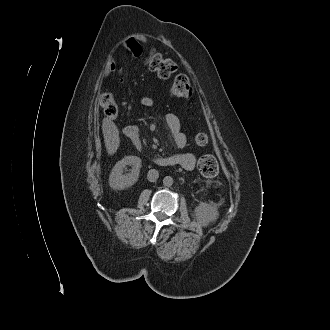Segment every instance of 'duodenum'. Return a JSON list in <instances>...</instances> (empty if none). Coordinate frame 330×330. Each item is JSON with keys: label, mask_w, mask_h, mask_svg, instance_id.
<instances>
[{"label": "duodenum", "mask_w": 330, "mask_h": 330, "mask_svg": "<svg viewBox=\"0 0 330 330\" xmlns=\"http://www.w3.org/2000/svg\"><path fill=\"white\" fill-rule=\"evenodd\" d=\"M127 130L130 131V127L126 128ZM126 136L128 138H131L132 140H135L137 141L138 140V131L136 130H131L128 134H126ZM156 161L159 163V164H163V165H172L171 164V161L166 157V158H163V157H158L156 158Z\"/></svg>", "instance_id": "1"}]
</instances>
